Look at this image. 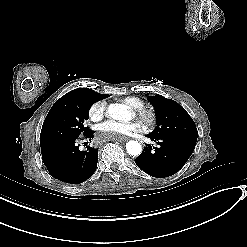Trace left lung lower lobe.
Instances as JSON below:
<instances>
[{
  "mask_svg": "<svg viewBox=\"0 0 247 247\" xmlns=\"http://www.w3.org/2000/svg\"><path fill=\"white\" fill-rule=\"evenodd\" d=\"M159 147L147 145L135 159L139 168L147 174L163 178L177 173L194 151L196 142L178 138L148 136Z\"/></svg>",
  "mask_w": 247,
  "mask_h": 247,
  "instance_id": "left-lung-lower-lobe-1",
  "label": "left lung lower lobe"
}]
</instances>
